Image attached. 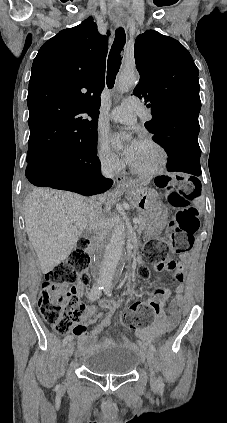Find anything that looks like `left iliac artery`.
Segmentation results:
<instances>
[{"instance_id":"left-iliac-artery-1","label":"left iliac artery","mask_w":227,"mask_h":423,"mask_svg":"<svg viewBox=\"0 0 227 423\" xmlns=\"http://www.w3.org/2000/svg\"><path fill=\"white\" fill-rule=\"evenodd\" d=\"M111 289H112L111 283H104L103 284V291H104L105 294L111 295ZM150 349L155 355H157V350L153 345H150ZM164 387H165V385H164L162 378H159V381H158L159 391L162 392L164 390Z\"/></svg>"}]
</instances>
